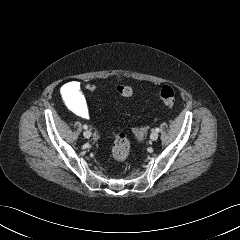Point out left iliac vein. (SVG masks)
<instances>
[{
	"mask_svg": "<svg viewBox=\"0 0 240 240\" xmlns=\"http://www.w3.org/2000/svg\"><path fill=\"white\" fill-rule=\"evenodd\" d=\"M158 133L157 132H155V131H153L151 134H150V139L151 140H157L158 139Z\"/></svg>",
	"mask_w": 240,
	"mask_h": 240,
	"instance_id": "obj_1",
	"label": "left iliac vein"
}]
</instances>
